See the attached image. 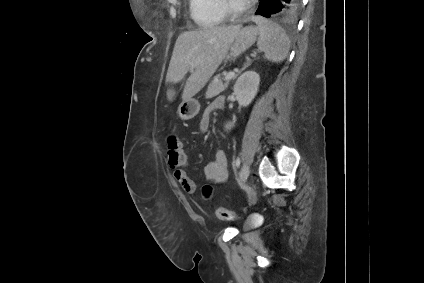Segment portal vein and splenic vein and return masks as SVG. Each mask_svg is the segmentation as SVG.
Returning a JSON list of instances; mask_svg holds the SVG:
<instances>
[{
  "instance_id": "portal-vein-and-splenic-vein-1",
  "label": "portal vein and splenic vein",
  "mask_w": 424,
  "mask_h": 283,
  "mask_svg": "<svg viewBox=\"0 0 424 283\" xmlns=\"http://www.w3.org/2000/svg\"><path fill=\"white\" fill-rule=\"evenodd\" d=\"M234 76H235V72H230V73H228V74L225 76L224 80H225V81H229V80H230V79H232Z\"/></svg>"
}]
</instances>
